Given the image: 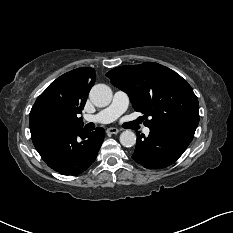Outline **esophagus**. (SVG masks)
I'll list each match as a JSON object with an SVG mask.
<instances>
[{
	"mask_svg": "<svg viewBox=\"0 0 233 233\" xmlns=\"http://www.w3.org/2000/svg\"><path fill=\"white\" fill-rule=\"evenodd\" d=\"M120 131L117 128L111 127L107 129L108 134H118Z\"/></svg>",
	"mask_w": 233,
	"mask_h": 233,
	"instance_id": "obj_1",
	"label": "esophagus"
}]
</instances>
